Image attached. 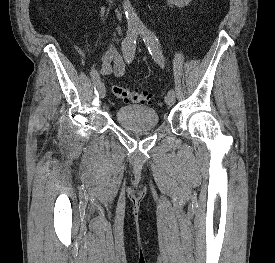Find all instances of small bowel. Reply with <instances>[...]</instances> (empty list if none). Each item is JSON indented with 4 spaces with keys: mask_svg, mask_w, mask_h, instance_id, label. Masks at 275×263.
<instances>
[{
    "mask_svg": "<svg viewBox=\"0 0 275 263\" xmlns=\"http://www.w3.org/2000/svg\"><path fill=\"white\" fill-rule=\"evenodd\" d=\"M98 72L103 76L114 73L117 77H123L126 74L127 65L114 44L103 55Z\"/></svg>",
    "mask_w": 275,
    "mask_h": 263,
    "instance_id": "obj_1",
    "label": "small bowel"
}]
</instances>
